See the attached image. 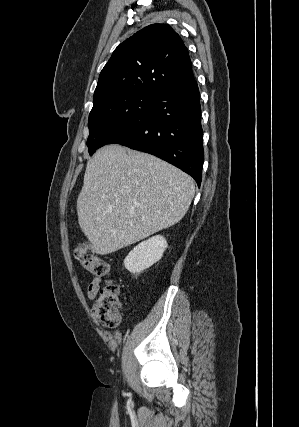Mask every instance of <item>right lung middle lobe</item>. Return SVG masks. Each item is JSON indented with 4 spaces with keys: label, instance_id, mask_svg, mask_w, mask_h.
Returning a JSON list of instances; mask_svg holds the SVG:
<instances>
[{
    "label": "right lung middle lobe",
    "instance_id": "right-lung-middle-lobe-1",
    "mask_svg": "<svg viewBox=\"0 0 299 427\" xmlns=\"http://www.w3.org/2000/svg\"><path fill=\"white\" fill-rule=\"evenodd\" d=\"M153 96L139 93H117L94 103L89 115L87 146L92 155L126 130L145 112Z\"/></svg>",
    "mask_w": 299,
    "mask_h": 427
}]
</instances>
